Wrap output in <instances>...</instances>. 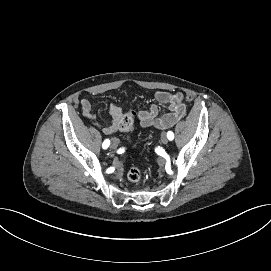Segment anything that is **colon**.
<instances>
[{
	"label": "colon",
	"instance_id": "obj_1",
	"mask_svg": "<svg viewBox=\"0 0 271 271\" xmlns=\"http://www.w3.org/2000/svg\"><path fill=\"white\" fill-rule=\"evenodd\" d=\"M136 113L131 111L123 115L119 122V130L126 135L130 134L134 129ZM128 179L133 183H138L142 179L141 169L137 166H132L127 174Z\"/></svg>",
	"mask_w": 271,
	"mask_h": 271
}]
</instances>
